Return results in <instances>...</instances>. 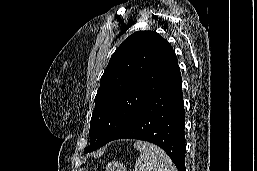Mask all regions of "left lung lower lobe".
Here are the masks:
<instances>
[{
    "label": "left lung lower lobe",
    "instance_id": "1",
    "mask_svg": "<svg viewBox=\"0 0 257 171\" xmlns=\"http://www.w3.org/2000/svg\"><path fill=\"white\" fill-rule=\"evenodd\" d=\"M184 126L182 79L176 60L154 95L111 141L139 139L154 143L168 154L179 171H185Z\"/></svg>",
    "mask_w": 257,
    "mask_h": 171
}]
</instances>
